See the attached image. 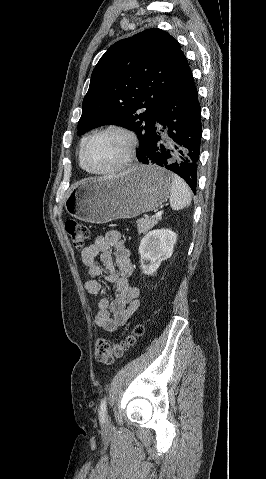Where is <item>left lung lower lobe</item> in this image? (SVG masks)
<instances>
[{
    "label": "left lung lower lobe",
    "mask_w": 266,
    "mask_h": 479,
    "mask_svg": "<svg viewBox=\"0 0 266 479\" xmlns=\"http://www.w3.org/2000/svg\"><path fill=\"white\" fill-rule=\"evenodd\" d=\"M201 136V108L189 70L162 104L147 151L140 161L178 174L196 194Z\"/></svg>",
    "instance_id": "0a47b994"
}]
</instances>
